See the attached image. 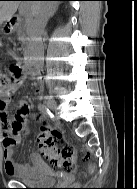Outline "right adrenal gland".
Wrapping results in <instances>:
<instances>
[{
    "mask_svg": "<svg viewBox=\"0 0 137 189\" xmlns=\"http://www.w3.org/2000/svg\"><path fill=\"white\" fill-rule=\"evenodd\" d=\"M57 9H58V5L55 6V8H54L52 14L50 15V17H53V16H54V13L57 11Z\"/></svg>",
    "mask_w": 137,
    "mask_h": 189,
    "instance_id": "2a0ac1e0",
    "label": "right adrenal gland"
}]
</instances>
